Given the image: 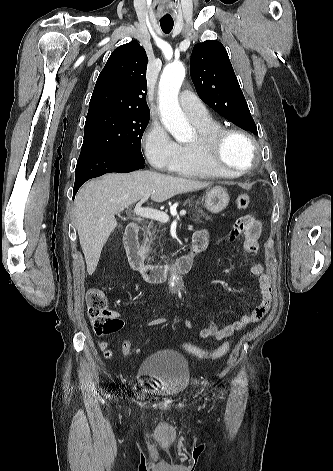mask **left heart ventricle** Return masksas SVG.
<instances>
[{
  "label": "left heart ventricle",
  "instance_id": "1",
  "mask_svg": "<svg viewBox=\"0 0 333 471\" xmlns=\"http://www.w3.org/2000/svg\"><path fill=\"white\" fill-rule=\"evenodd\" d=\"M222 160L231 166H245L250 158V148L248 144L239 137H229L222 148Z\"/></svg>",
  "mask_w": 333,
  "mask_h": 471
}]
</instances>
